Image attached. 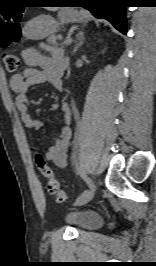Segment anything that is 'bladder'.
Returning a JSON list of instances; mask_svg holds the SVG:
<instances>
[{"mask_svg":"<svg viewBox=\"0 0 156 266\" xmlns=\"http://www.w3.org/2000/svg\"><path fill=\"white\" fill-rule=\"evenodd\" d=\"M65 221L78 230L96 229L102 223L100 215L90 210H70L65 215Z\"/></svg>","mask_w":156,"mask_h":266,"instance_id":"bladder-1","label":"bladder"}]
</instances>
